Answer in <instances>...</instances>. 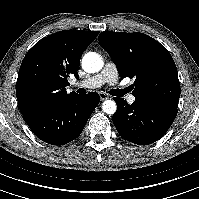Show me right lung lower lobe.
Instances as JSON below:
<instances>
[{"label":"right lung lower lobe","mask_w":199,"mask_h":199,"mask_svg":"<svg viewBox=\"0 0 199 199\" xmlns=\"http://www.w3.org/2000/svg\"><path fill=\"white\" fill-rule=\"evenodd\" d=\"M99 100L96 92L77 94L23 117L39 139L48 144L63 145L81 134Z\"/></svg>","instance_id":"right-lung-lower-lobe-1"}]
</instances>
